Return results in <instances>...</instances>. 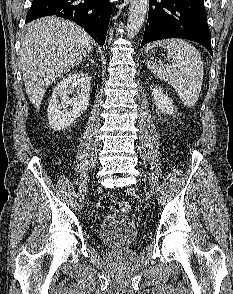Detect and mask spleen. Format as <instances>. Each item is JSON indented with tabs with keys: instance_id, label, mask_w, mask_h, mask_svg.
Wrapping results in <instances>:
<instances>
[{
	"instance_id": "3e777b00",
	"label": "spleen",
	"mask_w": 233,
	"mask_h": 294,
	"mask_svg": "<svg viewBox=\"0 0 233 294\" xmlns=\"http://www.w3.org/2000/svg\"><path fill=\"white\" fill-rule=\"evenodd\" d=\"M155 47L167 50L172 64L158 65L146 60L147 67L160 79L167 82L179 95L184 105L192 108L202 87L204 68L199 51L182 39H165L149 43L146 52Z\"/></svg>"
}]
</instances>
